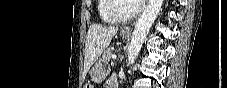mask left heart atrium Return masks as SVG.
I'll return each instance as SVG.
<instances>
[{"mask_svg": "<svg viewBox=\"0 0 227 88\" xmlns=\"http://www.w3.org/2000/svg\"><path fill=\"white\" fill-rule=\"evenodd\" d=\"M144 0H134V3L136 4V5H143L144 4Z\"/></svg>", "mask_w": 227, "mask_h": 88, "instance_id": "left-heart-atrium-1", "label": "left heart atrium"}]
</instances>
